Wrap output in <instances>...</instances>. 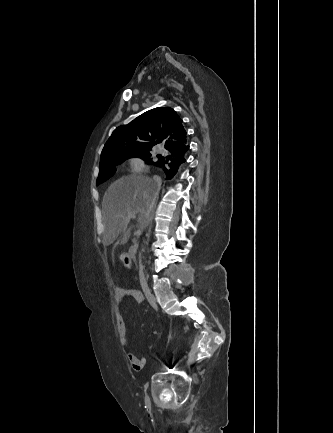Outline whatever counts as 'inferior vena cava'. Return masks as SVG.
<instances>
[{
  "label": "inferior vena cava",
  "instance_id": "602c4592",
  "mask_svg": "<svg viewBox=\"0 0 333 433\" xmlns=\"http://www.w3.org/2000/svg\"><path fill=\"white\" fill-rule=\"evenodd\" d=\"M153 182H154V184H155L156 195H158V193H159V191H160V188H161V183H162L160 177H158V176H153ZM155 199H156V198H154V200H153V204L155 203Z\"/></svg>",
  "mask_w": 333,
  "mask_h": 433
}]
</instances>
